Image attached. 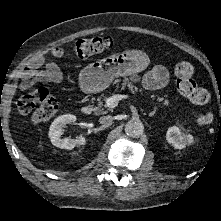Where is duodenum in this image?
<instances>
[{
    "label": "duodenum",
    "instance_id": "obj_1",
    "mask_svg": "<svg viewBox=\"0 0 221 221\" xmlns=\"http://www.w3.org/2000/svg\"><path fill=\"white\" fill-rule=\"evenodd\" d=\"M81 112L85 115H88L92 112V108L90 106H83L81 108Z\"/></svg>",
    "mask_w": 221,
    "mask_h": 221
}]
</instances>
